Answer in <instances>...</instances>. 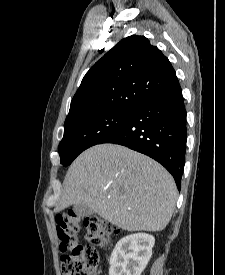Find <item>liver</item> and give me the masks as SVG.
Masks as SVG:
<instances>
[{
	"label": "liver",
	"mask_w": 225,
	"mask_h": 275,
	"mask_svg": "<svg viewBox=\"0 0 225 275\" xmlns=\"http://www.w3.org/2000/svg\"><path fill=\"white\" fill-rule=\"evenodd\" d=\"M177 200L169 172L153 159L116 144H98L69 167L55 212L85 204L127 231L163 230Z\"/></svg>",
	"instance_id": "1"
}]
</instances>
